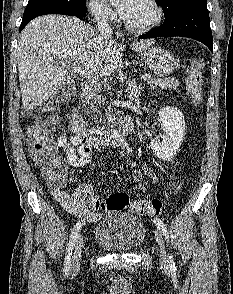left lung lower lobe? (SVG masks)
<instances>
[{"mask_svg": "<svg viewBox=\"0 0 233 294\" xmlns=\"http://www.w3.org/2000/svg\"><path fill=\"white\" fill-rule=\"evenodd\" d=\"M189 37L205 44L213 52V37L206 5L186 3L165 15L164 23L139 38Z\"/></svg>", "mask_w": 233, "mask_h": 294, "instance_id": "0a47b994", "label": "left lung lower lobe"}]
</instances>
